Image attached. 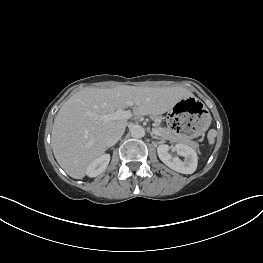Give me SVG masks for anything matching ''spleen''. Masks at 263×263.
Returning a JSON list of instances; mask_svg holds the SVG:
<instances>
[{
  "mask_svg": "<svg viewBox=\"0 0 263 263\" xmlns=\"http://www.w3.org/2000/svg\"><path fill=\"white\" fill-rule=\"evenodd\" d=\"M216 137V131L215 130H210L208 133V140H209V144H213L214 143V139Z\"/></svg>",
  "mask_w": 263,
  "mask_h": 263,
  "instance_id": "obj_1",
  "label": "spleen"
}]
</instances>
